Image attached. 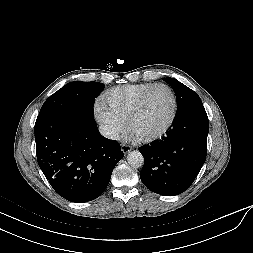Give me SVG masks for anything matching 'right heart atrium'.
<instances>
[{
    "label": "right heart atrium",
    "mask_w": 253,
    "mask_h": 253,
    "mask_svg": "<svg viewBox=\"0 0 253 253\" xmlns=\"http://www.w3.org/2000/svg\"><path fill=\"white\" fill-rule=\"evenodd\" d=\"M94 112L97 120L110 138L115 139L124 131V123L108 109L104 102H96Z\"/></svg>",
    "instance_id": "1"
}]
</instances>
